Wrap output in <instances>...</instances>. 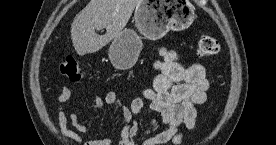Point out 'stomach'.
<instances>
[{
  "instance_id": "stomach-1",
  "label": "stomach",
  "mask_w": 276,
  "mask_h": 145,
  "mask_svg": "<svg viewBox=\"0 0 276 145\" xmlns=\"http://www.w3.org/2000/svg\"><path fill=\"white\" fill-rule=\"evenodd\" d=\"M195 19V7L189 0H140L136 5L134 22L146 39L158 40L169 31L188 28ZM142 40L132 29L122 30L113 39L108 55L118 70L134 66L142 50Z\"/></svg>"
}]
</instances>
